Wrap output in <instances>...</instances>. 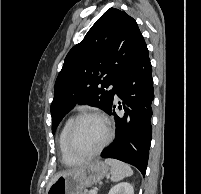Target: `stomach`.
<instances>
[{
  "instance_id": "0dacf381",
  "label": "stomach",
  "mask_w": 201,
  "mask_h": 194,
  "mask_svg": "<svg viewBox=\"0 0 201 194\" xmlns=\"http://www.w3.org/2000/svg\"><path fill=\"white\" fill-rule=\"evenodd\" d=\"M109 167L100 161L88 163L59 176L48 188L47 194H80L83 189L101 181Z\"/></svg>"
}]
</instances>
